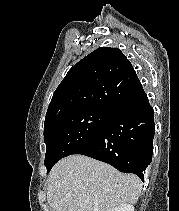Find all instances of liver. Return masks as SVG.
<instances>
[{
    "label": "liver",
    "instance_id": "liver-1",
    "mask_svg": "<svg viewBox=\"0 0 179 211\" xmlns=\"http://www.w3.org/2000/svg\"><path fill=\"white\" fill-rule=\"evenodd\" d=\"M142 190L134 174H122L83 155L61 159L48 177L47 202L53 211H112L135 204Z\"/></svg>",
    "mask_w": 179,
    "mask_h": 211
}]
</instances>
